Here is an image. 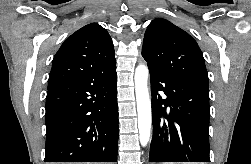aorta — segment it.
Listing matches in <instances>:
<instances>
[{"label": "aorta", "mask_w": 251, "mask_h": 164, "mask_svg": "<svg viewBox=\"0 0 251 164\" xmlns=\"http://www.w3.org/2000/svg\"><path fill=\"white\" fill-rule=\"evenodd\" d=\"M149 71L146 65H138L135 70L134 82L138 113L139 139L146 146L151 132V102L148 92Z\"/></svg>", "instance_id": "aorta-1"}]
</instances>
